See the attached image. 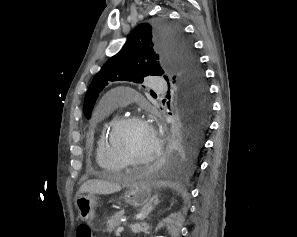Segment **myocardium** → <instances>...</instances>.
<instances>
[{"label": "myocardium", "mask_w": 297, "mask_h": 237, "mask_svg": "<svg viewBox=\"0 0 297 237\" xmlns=\"http://www.w3.org/2000/svg\"><path fill=\"white\" fill-rule=\"evenodd\" d=\"M131 123H146L147 121L139 115H128L118 118L108 134V143L112 154L121 162L123 166H146L155 162L162 153V146L160 137L154 132L155 147L151 154L142 160H134L126 155L119 147L117 137L120 130Z\"/></svg>", "instance_id": "f54148a6"}]
</instances>
